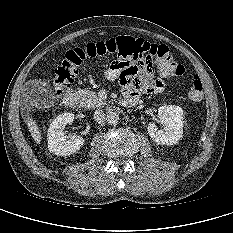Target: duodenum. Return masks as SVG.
I'll return each instance as SVG.
<instances>
[{
	"label": "duodenum",
	"instance_id": "duodenum-1",
	"mask_svg": "<svg viewBox=\"0 0 233 233\" xmlns=\"http://www.w3.org/2000/svg\"><path fill=\"white\" fill-rule=\"evenodd\" d=\"M138 97L133 94H128L124 97V103L127 106H134L137 103ZM63 103L69 108H78L80 106V100L78 93L75 90H69L64 96Z\"/></svg>",
	"mask_w": 233,
	"mask_h": 233
}]
</instances>
